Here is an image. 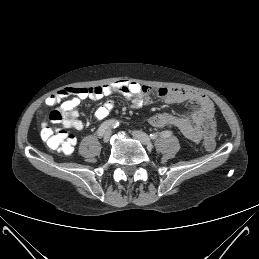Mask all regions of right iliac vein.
Wrapping results in <instances>:
<instances>
[{"label":"right iliac vein","instance_id":"obj_1","mask_svg":"<svg viewBox=\"0 0 259 259\" xmlns=\"http://www.w3.org/2000/svg\"><path fill=\"white\" fill-rule=\"evenodd\" d=\"M110 138H111V130L105 131V133L103 134V141L108 142Z\"/></svg>","mask_w":259,"mask_h":259}]
</instances>
